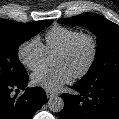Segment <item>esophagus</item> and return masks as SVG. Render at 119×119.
Here are the masks:
<instances>
[{
    "label": "esophagus",
    "instance_id": "obj_1",
    "mask_svg": "<svg viewBox=\"0 0 119 119\" xmlns=\"http://www.w3.org/2000/svg\"><path fill=\"white\" fill-rule=\"evenodd\" d=\"M46 95H47L48 98H52V97L56 96L57 94L53 93L51 91H46Z\"/></svg>",
    "mask_w": 119,
    "mask_h": 119
}]
</instances>
